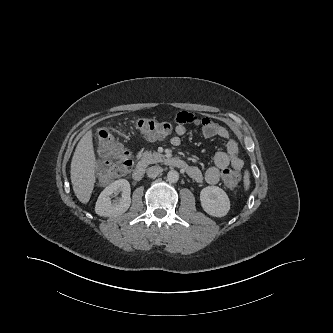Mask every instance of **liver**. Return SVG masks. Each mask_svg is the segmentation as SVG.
<instances>
[{"label": "liver", "mask_w": 333, "mask_h": 333, "mask_svg": "<svg viewBox=\"0 0 333 333\" xmlns=\"http://www.w3.org/2000/svg\"><path fill=\"white\" fill-rule=\"evenodd\" d=\"M92 130L80 139L71 161V182L78 200L86 204L90 200L94 184L95 170L97 166L93 147Z\"/></svg>", "instance_id": "liver-1"}]
</instances>
